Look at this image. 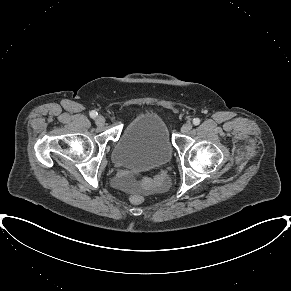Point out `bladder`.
<instances>
[{
	"label": "bladder",
	"instance_id": "bladder-1",
	"mask_svg": "<svg viewBox=\"0 0 291 291\" xmlns=\"http://www.w3.org/2000/svg\"><path fill=\"white\" fill-rule=\"evenodd\" d=\"M173 147L164 121L145 113L130 121L115 142L111 158L115 165L134 170H148L168 164Z\"/></svg>",
	"mask_w": 291,
	"mask_h": 291
}]
</instances>
